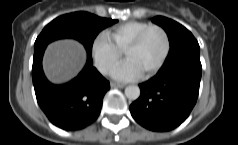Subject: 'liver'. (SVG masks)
<instances>
[{"instance_id":"obj_1","label":"liver","mask_w":238,"mask_h":145,"mask_svg":"<svg viewBox=\"0 0 238 145\" xmlns=\"http://www.w3.org/2000/svg\"><path fill=\"white\" fill-rule=\"evenodd\" d=\"M86 53L74 40H58L48 45L43 59L47 78L53 83H64L75 77L83 68Z\"/></svg>"}]
</instances>
